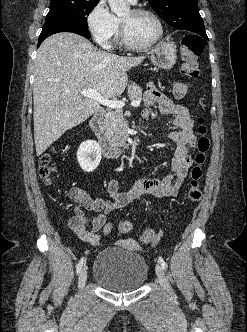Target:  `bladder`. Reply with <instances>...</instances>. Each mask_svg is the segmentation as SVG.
<instances>
[{
  "label": "bladder",
  "instance_id": "31cf9c89",
  "mask_svg": "<svg viewBox=\"0 0 247 332\" xmlns=\"http://www.w3.org/2000/svg\"><path fill=\"white\" fill-rule=\"evenodd\" d=\"M148 276L145 259L131 245L117 244L98 253L93 266V278L112 292L140 289Z\"/></svg>",
  "mask_w": 247,
  "mask_h": 332
}]
</instances>
